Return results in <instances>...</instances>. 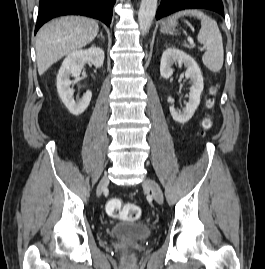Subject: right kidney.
Instances as JSON below:
<instances>
[{
    "instance_id": "1",
    "label": "right kidney",
    "mask_w": 265,
    "mask_h": 269,
    "mask_svg": "<svg viewBox=\"0 0 265 269\" xmlns=\"http://www.w3.org/2000/svg\"><path fill=\"white\" fill-rule=\"evenodd\" d=\"M91 63L99 68L104 62V51L99 47H90L85 50H77L70 53L63 61L57 75V91L58 94L70 111L71 114L79 116L82 114L91 101V91H86L81 100H74V90L70 87V76L77 77L85 63Z\"/></svg>"
}]
</instances>
